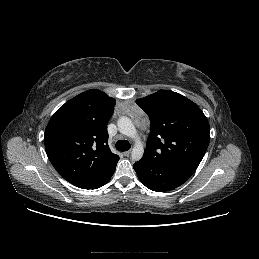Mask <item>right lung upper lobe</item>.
<instances>
[{
    "mask_svg": "<svg viewBox=\"0 0 259 259\" xmlns=\"http://www.w3.org/2000/svg\"><path fill=\"white\" fill-rule=\"evenodd\" d=\"M115 100L91 89L66 102L47 124L44 142L57 172L79 187L91 186L111 174L119 156L108 146L107 124Z\"/></svg>",
    "mask_w": 259,
    "mask_h": 259,
    "instance_id": "right-lung-upper-lobe-1",
    "label": "right lung upper lobe"
}]
</instances>
